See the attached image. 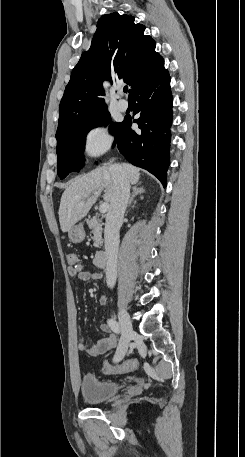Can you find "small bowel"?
<instances>
[{
  "mask_svg": "<svg viewBox=\"0 0 245 457\" xmlns=\"http://www.w3.org/2000/svg\"><path fill=\"white\" fill-rule=\"evenodd\" d=\"M68 273L73 278H78L82 281L88 280H99L101 278L100 273L95 271H85L80 266L77 268L70 267ZM107 302V296L102 295L99 298V303L105 305ZM107 324L100 326L101 331L105 334V337L101 338L96 344L90 345L83 337L78 340V348L81 351L86 352L90 356H99L114 350L117 346V338L112 333Z\"/></svg>",
  "mask_w": 245,
  "mask_h": 457,
  "instance_id": "c3829d8e",
  "label": "small bowel"
}]
</instances>
